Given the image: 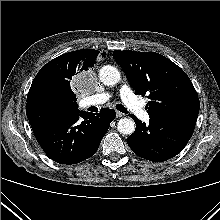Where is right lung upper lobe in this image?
Here are the masks:
<instances>
[{
  "label": "right lung upper lobe",
  "instance_id": "cb5924a9",
  "mask_svg": "<svg viewBox=\"0 0 220 220\" xmlns=\"http://www.w3.org/2000/svg\"><path fill=\"white\" fill-rule=\"evenodd\" d=\"M100 51L92 49L76 50L56 57L43 66L35 76L28 96L41 85H54L64 90L76 105V96L71 89V80L80 72L93 67ZM105 52L102 53L104 57ZM29 102V101H27Z\"/></svg>",
  "mask_w": 220,
  "mask_h": 220
}]
</instances>
